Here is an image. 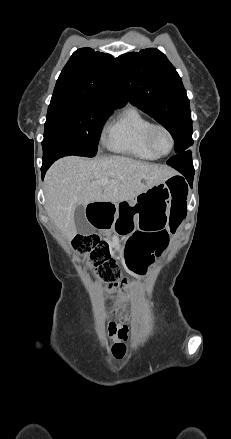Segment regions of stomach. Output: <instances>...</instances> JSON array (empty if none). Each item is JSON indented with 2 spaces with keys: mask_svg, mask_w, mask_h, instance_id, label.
I'll list each match as a JSON object with an SVG mask.
<instances>
[{
  "mask_svg": "<svg viewBox=\"0 0 231 439\" xmlns=\"http://www.w3.org/2000/svg\"><path fill=\"white\" fill-rule=\"evenodd\" d=\"M168 180L140 193L128 203L129 215L117 224L120 234L133 233L136 229L158 230L165 227L172 199Z\"/></svg>",
  "mask_w": 231,
  "mask_h": 439,
  "instance_id": "0dacf381",
  "label": "stomach"
}]
</instances>
